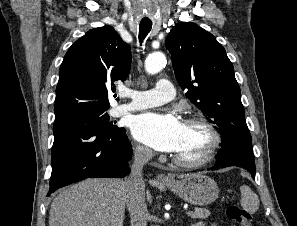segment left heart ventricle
Wrapping results in <instances>:
<instances>
[{
    "label": "left heart ventricle",
    "instance_id": "obj_1",
    "mask_svg": "<svg viewBox=\"0 0 297 226\" xmlns=\"http://www.w3.org/2000/svg\"><path fill=\"white\" fill-rule=\"evenodd\" d=\"M210 141L208 132L198 124H184L182 141L175 155L192 160L200 157L206 150Z\"/></svg>",
    "mask_w": 297,
    "mask_h": 226
}]
</instances>
